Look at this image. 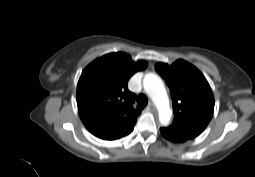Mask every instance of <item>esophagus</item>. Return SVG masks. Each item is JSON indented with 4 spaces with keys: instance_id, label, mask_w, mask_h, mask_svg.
Masks as SVG:
<instances>
[{
    "instance_id": "1",
    "label": "esophagus",
    "mask_w": 255,
    "mask_h": 177,
    "mask_svg": "<svg viewBox=\"0 0 255 177\" xmlns=\"http://www.w3.org/2000/svg\"><path fill=\"white\" fill-rule=\"evenodd\" d=\"M148 109L151 110V111H154L155 110V105L152 102H150L148 104Z\"/></svg>"
}]
</instances>
